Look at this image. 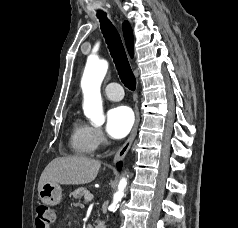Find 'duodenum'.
<instances>
[{
  "label": "duodenum",
  "mask_w": 238,
  "mask_h": 228,
  "mask_svg": "<svg viewBox=\"0 0 238 228\" xmlns=\"http://www.w3.org/2000/svg\"><path fill=\"white\" fill-rule=\"evenodd\" d=\"M95 228H106L104 223L101 220H97Z\"/></svg>",
  "instance_id": "obj_1"
}]
</instances>
